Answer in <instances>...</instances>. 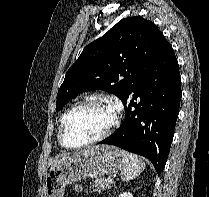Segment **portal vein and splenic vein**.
Returning <instances> with one entry per match:
<instances>
[{"label": "portal vein and splenic vein", "mask_w": 209, "mask_h": 197, "mask_svg": "<svg viewBox=\"0 0 209 197\" xmlns=\"http://www.w3.org/2000/svg\"><path fill=\"white\" fill-rule=\"evenodd\" d=\"M106 181H107L108 183H112V179H111V178H107Z\"/></svg>", "instance_id": "portal-vein-and-splenic-vein-1"}]
</instances>
